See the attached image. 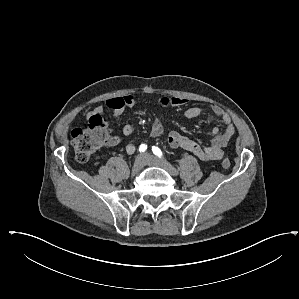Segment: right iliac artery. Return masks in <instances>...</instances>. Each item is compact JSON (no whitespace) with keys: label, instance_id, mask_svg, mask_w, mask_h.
<instances>
[{"label":"right iliac artery","instance_id":"obj_1","mask_svg":"<svg viewBox=\"0 0 299 299\" xmlns=\"http://www.w3.org/2000/svg\"><path fill=\"white\" fill-rule=\"evenodd\" d=\"M147 149V145L146 144H141L139 147V151L140 152H145V150Z\"/></svg>","mask_w":299,"mask_h":299}]
</instances>
